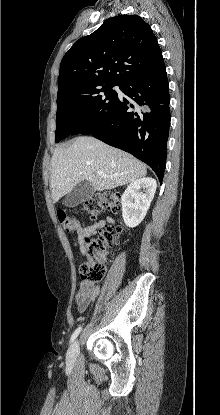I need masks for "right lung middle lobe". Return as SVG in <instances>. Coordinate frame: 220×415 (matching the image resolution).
Returning <instances> with one entry per match:
<instances>
[{
  "label": "right lung middle lobe",
  "instance_id": "dd1d6c3e",
  "mask_svg": "<svg viewBox=\"0 0 220 415\" xmlns=\"http://www.w3.org/2000/svg\"><path fill=\"white\" fill-rule=\"evenodd\" d=\"M120 83L108 81L79 84L58 94L56 143L69 135L90 134L110 115L118 94L112 89Z\"/></svg>",
  "mask_w": 220,
  "mask_h": 415
}]
</instances>
